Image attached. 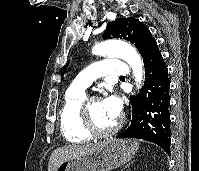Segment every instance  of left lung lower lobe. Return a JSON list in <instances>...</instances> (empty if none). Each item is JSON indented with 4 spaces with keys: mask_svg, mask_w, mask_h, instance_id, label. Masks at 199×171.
Masks as SVG:
<instances>
[{
    "mask_svg": "<svg viewBox=\"0 0 199 171\" xmlns=\"http://www.w3.org/2000/svg\"><path fill=\"white\" fill-rule=\"evenodd\" d=\"M141 55L146 73L145 85L137 96L131 97V124L117 138H138L150 141L170 155L168 69L155 40L144 48Z\"/></svg>",
    "mask_w": 199,
    "mask_h": 171,
    "instance_id": "1",
    "label": "left lung lower lobe"
}]
</instances>
